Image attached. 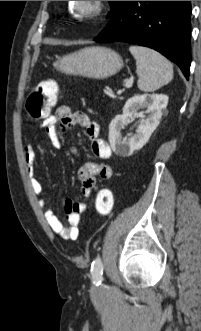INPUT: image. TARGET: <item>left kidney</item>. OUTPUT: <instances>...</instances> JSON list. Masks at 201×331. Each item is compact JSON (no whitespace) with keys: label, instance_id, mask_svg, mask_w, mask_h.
Returning <instances> with one entry per match:
<instances>
[{"label":"left kidney","instance_id":"obj_1","mask_svg":"<svg viewBox=\"0 0 201 331\" xmlns=\"http://www.w3.org/2000/svg\"><path fill=\"white\" fill-rule=\"evenodd\" d=\"M168 104V96L164 94L134 95L128 99L123 107L122 115H117L109 125V142L112 150L119 156L127 157L135 150L141 149L157 128L162 117V111ZM146 108L145 112H138ZM144 113L148 118L144 119ZM141 117L142 123L131 137L122 138L121 131L129 123V118Z\"/></svg>","mask_w":201,"mask_h":331}]
</instances>
